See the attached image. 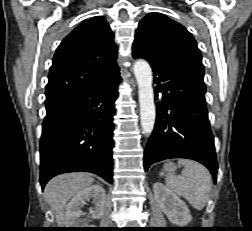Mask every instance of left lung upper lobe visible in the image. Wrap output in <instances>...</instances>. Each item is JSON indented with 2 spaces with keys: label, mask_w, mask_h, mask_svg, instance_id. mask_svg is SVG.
<instances>
[{
  "label": "left lung upper lobe",
  "mask_w": 252,
  "mask_h": 231,
  "mask_svg": "<svg viewBox=\"0 0 252 231\" xmlns=\"http://www.w3.org/2000/svg\"><path fill=\"white\" fill-rule=\"evenodd\" d=\"M133 57L151 66H175L204 76L197 43L190 32L161 13H149L139 23L133 43Z\"/></svg>",
  "instance_id": "obj_1"
}]
</instances>
